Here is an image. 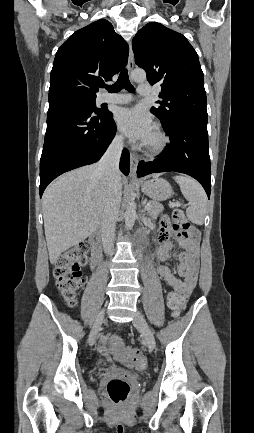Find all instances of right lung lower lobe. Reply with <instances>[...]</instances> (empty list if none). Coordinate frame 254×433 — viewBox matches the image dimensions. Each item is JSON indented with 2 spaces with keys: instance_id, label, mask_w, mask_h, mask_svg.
I'll return each instance as SVG.
<instances>
[{
  "instance_id": "98d812e1",
  "label": "right lung lower lobe",
  "mask_w": 254,
  "mask_h": 433,
  "mask_svg": "<svg viewBox=\"0 0 254 433\" xmlns=\"http://www.w3.org/2000/svg\"><path fill=\"white\" fill-rule=\"evenodd\" d=\"M115 133L116 124L108 110L95 112L71 100L49 103L40 159V197L47 185L62 173L97 162ZM120 170L129 174L127 149L122 152Z\"/></svg>"
}]
</instances>
